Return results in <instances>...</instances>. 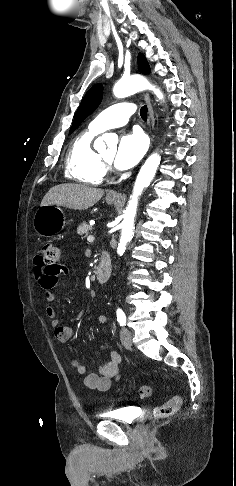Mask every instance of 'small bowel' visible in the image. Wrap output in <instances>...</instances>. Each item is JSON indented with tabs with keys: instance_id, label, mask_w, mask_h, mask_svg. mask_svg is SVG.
<instances>
[{
	"instance_id": "c3829d8e",
	"label": "small bowel",
	"mask_w": 236,
	"mask_h": 486,
	"mask_svg": "<svg viewBox=\"0 0 236 486\" xmlns=\"http://www.w3.org/2000/svg\"><path fill=\"white\" fill-rule=\"evenodd\" d=\"M34 265V277L37 284L44 290L46 301L54 302L56 295L53 289L57 286L60 276L70 273L69 267L62 264L54 267L47 266L40 256L35 258ZM45 313L51 319L56 339L61 343L68 342L73 337V328L60 324L53 306H47ZM97 321L99 324H105L107 316L101 314L97 317ZM72 366L79 374L84 375V384L87 388L106 391L110 388L112 381L120 377L121 356L117 351H111L109 361L99 366L98 373H87L85 365L79 360H73Z\"/></svg>"
}]
</instances>
